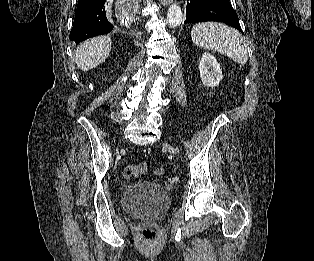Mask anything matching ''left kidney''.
Masks as SVG:
<instances>
[{
    "label": "left kidney",
    "mask_w": 314,
    "mask_h": 261,
    "mask_svg": "<svg viewBox=\"0 0 314 261\" xmlns=\"http://www.w3.org/2000/svg\"><path fill=\"white\" fill-rule=\"evenodd\" d=\"M200 78L202 83L214 88L222 81V70L216 58L210 53H204L199 62Z\"/></svg>",
    "instance_id": "left-kidney-1"
}]
</instances>
